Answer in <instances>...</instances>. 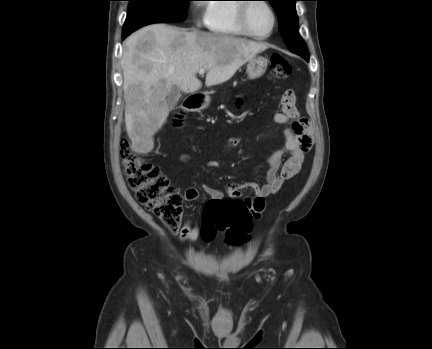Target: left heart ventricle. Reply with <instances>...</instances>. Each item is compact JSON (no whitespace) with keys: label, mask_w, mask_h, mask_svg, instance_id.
Listing matches in <instances>:
<instances>
[{"label":"left heart ventricle","mask_w":432,"mask_h":349,"mask_svg":"<svg viewBox=\"0 0 432 349\" xmlns=\"http://www.w3.org/2000/svg\"><path fill=\"white\" fill-rule=\"evenodd\" d=\"M272 22V15L264 4L255 3L250 7L248 12V24L255 34H267L272 27Z\"/></svg>","instance_id":"obj_1"}]
</instances>
